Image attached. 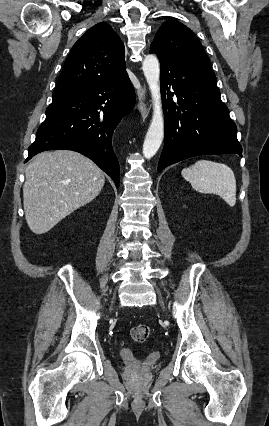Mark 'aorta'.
I'll return each instance as SVG.
<instances>
[{"mask_svg": "<svg viewBox=\"0 0 269 426\" xmlns=\"http://www.w3.org/2000/svg\"><path fill=\"white\" fill-rule=\"evenodd\" d=\"M144 76L148 83L152 102L153 115L143 143V155L150 159L161 146L164 137V118L160 94V66L155 55H147L142 63Z\"/></svg>", "mask_w": 269, "mask_h": 426, "instance_id": "aorta-1", "label": "aorta"}]
</instances>
